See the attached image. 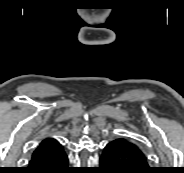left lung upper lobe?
Instances as JSON below:
<instances>
[{"mask_svg": "<svg viewBox=\"0 0 184 173\" xmlns=\"http://www.w3.org/2000/svg\"><path fill=\"white\" fill-rule=\"evenodd\" d=\"M132 146L137 150V152L139 154H141L145 159H146V156L145 154L143 153V151L139 148V146H137L136 144L132 143Z\"/></svg>", "mask_w": 184, "mask_h": 173, "instance_id": "obj_1", "label": "left lung upper lobe"}]
</instances>
